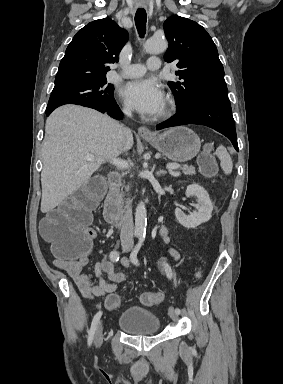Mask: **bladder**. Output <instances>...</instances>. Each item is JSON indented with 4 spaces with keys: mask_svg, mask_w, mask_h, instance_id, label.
<instances>
[{
    "mask_svg": "<svg viewBox=\"0 0 283 384\" xmlns=\"http://www.w3.org/2000/svg\"><path fill=\"white\" fill-rule=\"evenodd\" d=\"M158 313L146 307L128 306L117 320V327L129 336H152L159 333Z\"/></svg>",
    "mask_w": 283,
    "mask_h": 384,
    "instance_id": "31cf9c89",
    "label": "bladder"
}]
</instances>
